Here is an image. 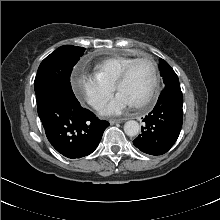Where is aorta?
I'll return each mask as SVG.
<instances>
[{
    "instance_id": "762f6f07",
    "label": "aorta",
    "mask_w": 220,
    "mask_h": 220,
    "mask_svg": "<svg viewBox=\"0 0 220 220\" xmlns=\"http://www.w3.org/2000/svg\"><path fill=\"white\" fill-rule=\"evenodd\" d=\"M124 132L127 136L134 137L140 132V125L135 120L127 121L124 124Z\"/></svg>"
}]
</instances>
